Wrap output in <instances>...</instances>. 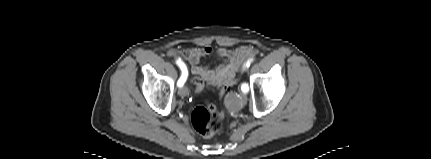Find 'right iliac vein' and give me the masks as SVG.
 Here are the masks:
<instances>
[{
	"mask_svg": "<svg viewBox=\"0 0 431 159\" xmlns=\"http://www.w3.org/2000/svg\"><path fill=\"white\" fill-rule=\"evenodd\" d=\"M179 95L180 96H182V97H185V96H187L188 95V93H189V90H188V87L187 86H183V87H181L180 89H179Z\"/></svg>",
	"mask_w": 431,
	"mask_h": 159,
	"instance_id": "right-iliac-vein-1",
	"label": "right iliac vein"
}]
</instances>
